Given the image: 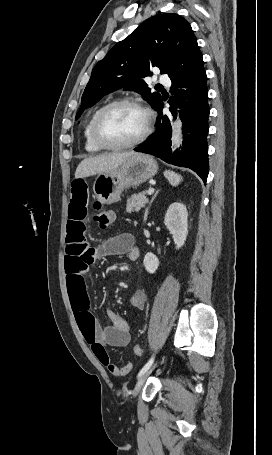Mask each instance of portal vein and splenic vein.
<instances>
[{
  "instance_id": "portal-vein-and-splenic-vein-1",
  "label": "portal vein and splenic vein",
  "mask_w": 272,
  "mask_h": 455,
  "mask_svg": "<svg viewBox=\"0 0 272 455\" xmlns=\"http://www.w3.org/2000/svg\"><path fill=\"white\" fill-rule=\"evenodd\" d=\"M153 193H154V188H149V189H148V194L151 195V194H153Z\"/></svg>"
}]
</instances>
